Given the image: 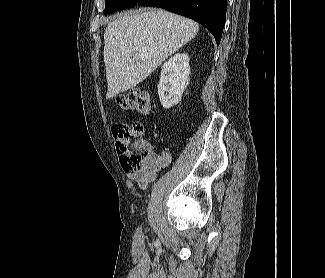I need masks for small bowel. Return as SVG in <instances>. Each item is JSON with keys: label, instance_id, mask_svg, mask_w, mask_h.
Returning <instances> with one entry per match:
<instances>
[{"label": "small bowel", "instance_id": "c3829d8e", "mask_svg": "<svg viewBox=\"0 0 325 278\" xmlns=\"http://www.w3.org/2000/svg\"><path fill=\"white\" fill-rule=\"evenodd\" d=\"M152 153L140 171L128 173L129 180L137 182L142 189H147L149 184L157 177V172L167 167L171 162V156L167 152H157L150 146Z\"/></svg>", "mask_w": 325, "mask_h": 278}]
</instances>
